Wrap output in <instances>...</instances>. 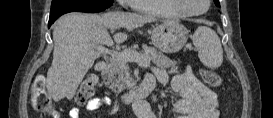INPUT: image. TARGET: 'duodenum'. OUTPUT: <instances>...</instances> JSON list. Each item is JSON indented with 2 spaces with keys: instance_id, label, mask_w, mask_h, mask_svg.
I'll use <instances>...</instances> for the list:
<instances>
[{
  "instance_id": "1",
  "label": "duodenum",
  "mask_w": 273,
  "mask_h": 118,
  "mask_svg": "<svg viewBox=\"0 0 273 118\" xmlns=\"http://www.w3.org/2000/svg\"><path fill=\"white\" fill-rule=\"evenodd\" d=\"M96 69L100 73H104L107 69V64L104 61L98 62L96 64ZM154 86H155L154 81L147 80L144 78V80L139 86L122 94V101L124 103H130L133 101L141 100L144 97H146L150 91H152Z\"/></svg>"
}]
</instances>
